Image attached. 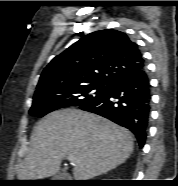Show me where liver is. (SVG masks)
<instances>
[{
    "label": "liver",
    "mask_w": 178,
    "mask_h": 186,
    "mask_svg": "<svg viewBox=\"0 0 178 186\" xmlns=\"http://www.w3.org/2000/svg\"><path fill=\"white\" fill-rule=\"evenodd\" d=\"M131 133L93 113L66 108L46 115L34 128L28 155L17 166L20 180L55 175L64 158L72 157L76 180L105 174L131 155Z\"/></svg>",
    "instance_id": "liver-1"
}]
</instances>
